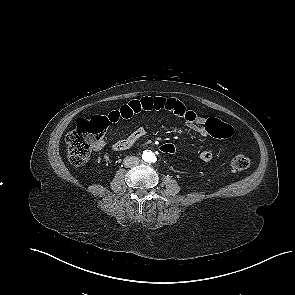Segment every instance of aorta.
<instances>
[{
	"mask_svg": "<svg viewBox=\"0 0 295 295\" xmlns=\"http://www.w3.org/2000/svg\"><path fill=\"white\" fill-rule=\"evenodd\" d=\"M142 157H143V160L148 163H154L157 160L156 155L150 150L144 151Z\"/></svg>",
	"mask_w": 295,
	"mask_h": 295,
	"instance_id": "1",
	"label": "aorta"
}]
</instances>
